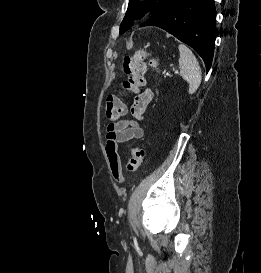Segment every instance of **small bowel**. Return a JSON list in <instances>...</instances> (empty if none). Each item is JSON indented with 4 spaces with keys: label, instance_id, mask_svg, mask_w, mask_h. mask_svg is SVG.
Returning a JSON list of instances; mask_svg holds the SVG:
<instances>
[{
    "label": "small bowel",
    "instance_id": "c3829d8e",
    "mask_svg": "<svg viewBox=\"0 0 261 273\" xmlns=\"http://www.w3.org/2000/svg\"><path fill=\"white\" fill-rule=\"evenodd\" d=\"M154 93L147 88L138 94L131 107V113L135 120H141L148 105L153 100ZM135 120H120L111 123L107 127L105 153L109 162L112 177L117 182L124 180L120 156L118 154V144L144 136L143 128Z\"/></svg>",
    "mask_w": 261,
    "mask_h": 273
}]
</instances>
